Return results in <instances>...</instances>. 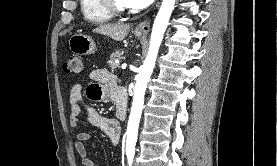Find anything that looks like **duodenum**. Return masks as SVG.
I'll return each mask as SVG.
<instances>
[{"label":"duodenum","mask_w":277,"mask_h":166,"mask_svg":"<svg viewBox=\"0 0 277 166\" xmlns=\"http://www.w3.org/2000/svg\"><path fill=\"white\" fill-rule=\"evenodd\" d=\"M114 102L117 107V113H118L119 120L124 121L126 119L127 106H128L127 93L122 89H118L115 94Z\"/></svg>","instance_id":"duodenum-1"}]
</instances>
